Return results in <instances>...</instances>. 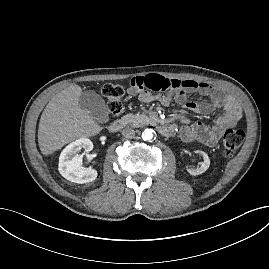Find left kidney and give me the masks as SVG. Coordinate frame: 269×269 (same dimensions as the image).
Returning a JSON list of instances; mask_svg holds the SVG:
<instances>
[{"mask_svg":"<svg viewBox=\"0 0 269 269\" xmlns=\"http://www.w3.org/2000/svg\"><path fill=\"white\" fill-rule=\"evenodd\" d=\"M195 153L199 154L203 158V162H201L200 167L196 169L187 167L188 173L194 176L204 173L209 168L210 165V159L204 151L196 150Z\"/></svg>","mask_w":269,"mask_h":269,"instance_id":"5707ae66","label":"left kidney"}]
</instances>
